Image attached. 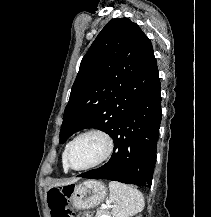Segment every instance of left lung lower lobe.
Segmentation results:
<instances>
[{"mask_svg": "<svg viewBox=\"0 0 211 217\" xmlns=\"http://www.w3.org/2000/svg\"><path fill=\"white\" fill-rule=\"evenodd\" d=\"M160 79L115 126L114 153L102 167L78 177L151 187L161 122Z\"/></svg>", "mask_w": 211, "mask_h": 217, "instance_id": "1", "label": "left lung lower lobe"}]
</instances>
